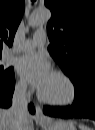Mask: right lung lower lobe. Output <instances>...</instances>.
Listing matches in <instances>:
<instances>
[{"instance_id":"1","label":"right lung lower lobe","mask_w":95,"mask_h":130,"mask_svg":"<svg viewBox=\"0 0 95 130\" xmlns=\"http://www.w3.org/2000/svg\"><path fill=\"white\" fill-rule=\"evenodd\" d=\"M15 86V77L5 81L0 82V107L8 108L11 105V99ZM29 111L34 113L33 105H29Z\"/></svg>"}]
</instances>
